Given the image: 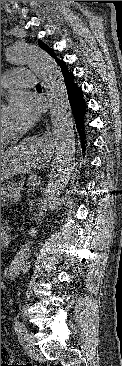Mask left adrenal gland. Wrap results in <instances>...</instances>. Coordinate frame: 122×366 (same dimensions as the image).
Returning a JSON list of instances; mask_svg holds the SVG:
<instances>
[{
	"label": "left adrenal gland",
	"instance_id": "1",
	"mask_svg": "<svg viewBox=\"0 0 122 366\" xmlns=\"http://www.w3.org/2000/svg\"><path fill=\"white\" fill-rule=\"evenodd\" d=\"M15 200H16V201H18V200H19V198H16Z\"/></svg>",
	"mask_w": 122,
	"mask_h": 366
}]
</instances>
